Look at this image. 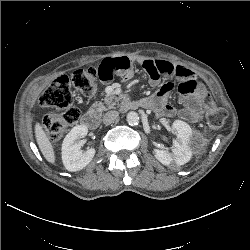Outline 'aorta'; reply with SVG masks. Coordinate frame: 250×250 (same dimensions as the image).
<instances>
[{
  "label": "aorta",
  "mask_w": 250,
  "mask_h": 250,
  "mask_svg": "<svg viewBox=\"0 0 250 250\" xmlns=\"http://www.w3.org/2000/svg\"><path fill=\"white\" fill-rule=\"evenodd\" d=\"M139 115L137 112L134 111H130L127 114L126 120L128 122L129 125H137L139 123Z\"/></svg>",
  "instance_id": "obj_1"
}]
</instances>
